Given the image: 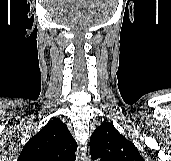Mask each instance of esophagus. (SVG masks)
Wrapping results in <instances>:
<instances>
[{
    "label": "esophagus",
    "mask_w": 171,
    "mask_h": 161,
    "mask_svg": "<svg viewBox=\"0 0 171 161\" xmlns=\"http://www.w3.org/2000/svg\"><path fill=\"white\" fill-rule=\"evenodd\" d=\"M81 161H89V156L87 153H83L82 156L80 157Z\"/></svg>",
    "instance_id": "esophagus-1"
}]
</instances>
